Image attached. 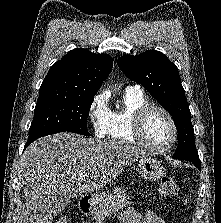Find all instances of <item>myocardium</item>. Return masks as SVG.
I'll list each match as a JSON object with an SVG mask.
<instances>
[{
    "label": "myocardium",
    "mask_w": 221,
    "mask_h": 223,
    "mask_svg": "<svg viewBox=\"0 0 221 223\" xmlns=\"http://www.w3.org/2000/svg\"><path fill=\"white\" fill-rule=\"evenodd\" d=\"M153 111H160L162 112L169 120L172 131H173V137L169 144L165 146H157L152 143H150L147 138L145 137V123L148 118V116ZM131 134L135 138L136 141H138L141 145L146 147L149 150L157 151V152H166L173 148V146L177 143L178 137H179V130L176 123V120L174 116L164 107L160 105L155 104H148L142 108H140L134 116V120L131 126Z\"/></svg>",
    "instance_id": "obj_1"
}]
</instances>
